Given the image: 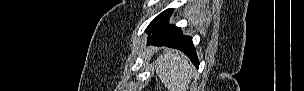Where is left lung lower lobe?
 Wrapping results in <instances>:
<instances>
[{
	"instance_id": "1",
	"label": "left lung lower lobe",
	"mask_w": 304,
	"mask_h": 91,
	"mask_svg": "<svg viewBox=\"0 0 304 91\" xmlns=\"http://www.w3.org/2000/svg\"><path fill=\"white\" fill-rule=\"evenodd\" d=\"M172 12L173 9L163 11L154 24L147 30L148 33H152V36L148 37V43L154 46H167L178 49L184 52L194 65L198 67L199 61L192 38L190 36H183L181 28L168 24Z\"/></svg>"
}]
</instances>
